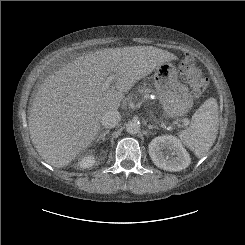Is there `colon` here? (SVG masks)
I'll return each instance as SVG.
<instances>
[{
	"instance_id": "colon-1",
	"label": "colon",
	"mask_w": 245,
	"mask_h": 245,
	"mask_svg": "<svg viewBox=\"0 0 245 245\" xmlns=\"http://www.w3.org/2000/svg\"><path fill=\"white\" fill-rule=\"evenodd\" d=\"M179 69L184 81L189 86L191 95L195 98L201 97L205 93L209 81L197 67L195 59L190 53H182Z\"/></svg>"
}]
</instances>
